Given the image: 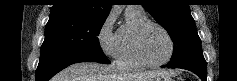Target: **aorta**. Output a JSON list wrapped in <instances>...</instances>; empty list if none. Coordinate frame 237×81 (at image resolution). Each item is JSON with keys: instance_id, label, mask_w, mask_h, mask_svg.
<instances>
[{"instance_id": "aorta-1", "label": "aorta", "mask_w": 237, "mask_h": 81, "mask_svg": "<svg viewBox=\"0 0 237 81\" xmlns=\"http://www.w3.org/2000/svg\"><path fill=\"white\" fill-rule=\"evenodd\" d=\"M113 10L120 11L121 9H120L119 7H117V6H115V7L113 8Z\"/></svg>"}]
</instances>
